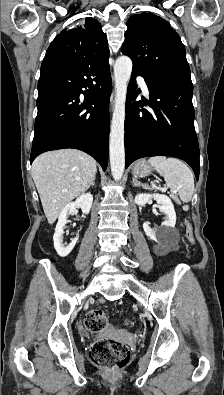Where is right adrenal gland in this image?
Instances as JSON below:
<instances>
[{
    "label": "right adrenal gland",
    "instance_id": "obj_1",
    "mask_svg": "<svg viewBox=\"0 0 224 395\" xmlns=\"http://www.w3.org/2000/svg\"><path fill=\"white\" fill-rule=\"evenodd\" d=\"M95 180H96V176H95V177L92 179V181L90 182L89 187L95 185Z\"/></svg>",
    "mask_w": 224,
    "mask_h": 395
}]
</instances>
